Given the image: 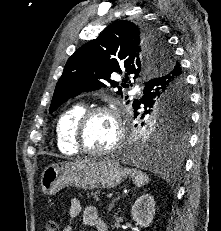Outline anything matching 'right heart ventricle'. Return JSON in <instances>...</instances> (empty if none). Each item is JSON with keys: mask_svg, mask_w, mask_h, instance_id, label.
<instances>
[{"mask_svg": "<svg viewBox=\"0 0 221 231\" xmlns=\"http://www.w3.org/2000/svg\"><path fill=\"white\" fill-rule=\"evenodd\" d=\"M84 111V105L75 104L66 109L58 118L56 124V140L57 147L63 154L73 155L78 152L73 143L74 125Z\"/></svg>", "mask_w": 221, "mask_h": 231, "instance_id": "obj_1", "label": "right heart ventricle"}]
</instances>
